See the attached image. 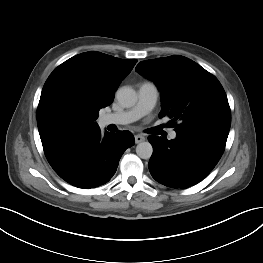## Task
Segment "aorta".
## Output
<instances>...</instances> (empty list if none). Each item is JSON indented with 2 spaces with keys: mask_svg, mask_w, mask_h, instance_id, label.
<instances>
[{
  "mask_svg": "<svg viewBox=\"0 0 263 263\" xmlns=\"http://www.w3.org/2000/svg\"><path fill=\"white\" fill-rule=\"evenodd\" d=\"M118 102L125 108L132 107L137 102V94L130 87H121L116 92ZM136 153L142 159H149L153 153V147L149 142H140L136 146Z\"/></svg>",
  "mask_w": 263,
  "mask_h": 263,
  "instance_id": "762f6f07",
  "label": "aorta"
}]
</instances>
